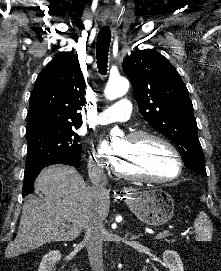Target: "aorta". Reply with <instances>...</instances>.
I'll list each match as a JSON object with an SVG mask.
<instances>
[{
	"label": "aorta",
	"mask_w": 221,
	"mask_h": 271,
	"mask_svg": "<svg viewBox=\"0 0 221 271\" xmlns=\"http://www.w3.org/2000/svg\"><path fill=\"white\" fill-rule=\"evenodd\" d=\"M129 82L126 78L120 77L110 80L105 88L104 94L107 99L114 100L127 93Z\"/></svg>",
	"instance_id": "762f6f07"
}]
</instances>
